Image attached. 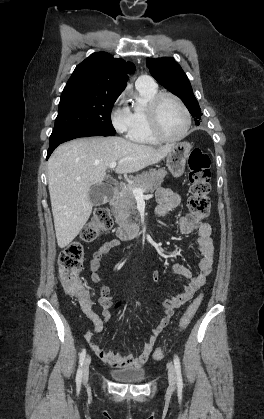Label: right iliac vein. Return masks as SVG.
<instances>
[{"mask_svg":"<svg viewBox=\"0 0 264 419\" xmlns=\"http://www.w3.org/2000/svg\"><path fill=\"white\" fill-rule=\"evenodd\" d=\"M91 358L87 356V358L84 361L83 364V381L86 382L88 380L89 376V364H90Z\"/></svg>","mask_w":264,"mask_h":419,"instance_id":"63e3f726","label":"right iliac vein"}]
</instances>
